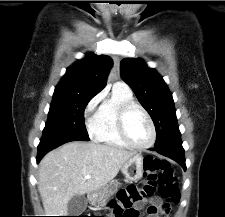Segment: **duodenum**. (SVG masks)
Returning <instances> with one entry per match:
<instances>
[{"label": "duodenum", "instance_id": "1", "mask_svg": "<svg viewBox=\"0 0 225 217\" xmlns=\"http://www.w3.org/2000/svg\"><path fill=\"white\" fill-rule=\"evenodd\" d=\"M88 196H89V198H93V193L90 192V193L88 194Z\"/></svg>", "mask_w": 225, "mask_h": 217}]
</instances>
